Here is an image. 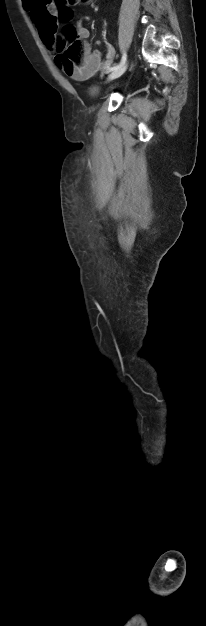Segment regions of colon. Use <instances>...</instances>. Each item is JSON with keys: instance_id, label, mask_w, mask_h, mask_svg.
Segmentation results:
<instances>
[{"instance_id": "colon-1", "label": "colon", "mask_w": 206, "mask_h": 626, "mask_svg": "<svg viewBox=\"0 0 206 626\" xmlns=\"http://www.w3.org/2000/svg\"><path fill=\"white\" fill-rule=\"evenodd\" d=\"M53 2L61 14L66 16L68 14L67 9L70 6L88 4L91 0H53ZM77 37V30L74 27H68L64 32L63 41L61 43V49L64 50V57L75 63L82 59L84 51L83 45Z\"/></svg>"}]
</instances>
